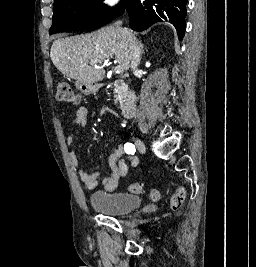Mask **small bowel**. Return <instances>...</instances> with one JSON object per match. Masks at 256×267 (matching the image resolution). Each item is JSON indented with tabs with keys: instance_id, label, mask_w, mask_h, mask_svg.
Wrapping results in <instances>:
<instances>
[{
	"instance_id": "obj_1",
	"label": "small bowel",
	"mask_w": 256,
	"mask_h": 267,
	"mask_svg": "<svg viewBox=\"0 0 256 267\" xmlns=\"http://www.w3.org/2000/svg\"><path fill=\"white\" fill-rule=\"evenodd\" d=\"M88 120V109L84 106L79 107L71 120V129H79L86 125ZM75 137L73 134H69L67 137V143L73 145ZM70 159L72 165L78 174L83 185L90 190L96 189L99 186V179L101 174L98 169V165H94L90 170L82 168L80 161L74 151L70 153ZM139 163L138 157L135 155H125L124 148L119 145L109 155L108 159V171L109 176L102 180V185L105 191L114 192L119 184V181L123 179L129 170V166L136 167Z\"/></svg>"
}]
</instances>
